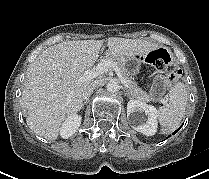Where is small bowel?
<instances>
[{
  "label": "small bowel",
  "mask_w": 209,
  "mask_h": 179,
  "mask_svg": "<svg viewBox=\"0 0 209 179\" xmlns=\"http://www.w3.org/2000/svg\"><path fill=\"white\" fill-rule=\"evenodd\" d=\"M166 78L163 75H158L154 78L150 86V93L153 98H159L165 91Z\"/></svg>",
  "instance_id": "1"
}]
</instances>
